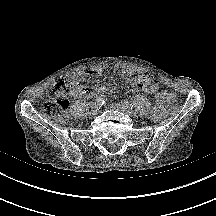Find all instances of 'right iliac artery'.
Wrapping results in <instances>:
<instances>
[{
  "mask_svg": "<svg viewBox=\"0 0 216 216\" xmlns=\"http://www.w3.org/2000/svg\"><path fill=\"white\" fill-rule=\"evenodd\" d=\"M105 103V96L101 95L99 96L95 101V107L99 108Z\"/></svg>",
  "mask_w": 216,
  "mask_h": 216,
  "instance_id": "1",
  "label": "right iliac artery"
}]
</instances>
